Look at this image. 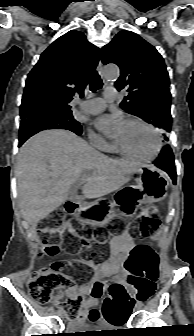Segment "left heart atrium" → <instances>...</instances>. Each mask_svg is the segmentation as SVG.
<instances>
[{
	"label": "left heart atrium",
	"mask_w": 194,
	"mask_h": 336,
	"mask_svg": "<svg viewBox=\"0 0 194 336\" xmlns=\"http://www.w3.org/2000/svg\"><path fill=\"white\" fill-rule=\"evenodd\" d=\"M96 126L102 132L113 133L117 137L124 127V122L118 115H106L96 121Z\"/></svg>",
	"instance_id": "obj_1"
}]
</instances>
